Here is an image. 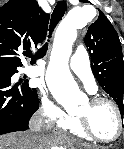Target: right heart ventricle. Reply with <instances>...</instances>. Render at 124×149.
<instances>
[{"instance_id":"e07e8e85","label":"right heart ventricle","mask_w":124,"mask_h":149,"mask_svg":"<svg viewBox=\"0 0 124 149\" xmlns=\"http://www.w3.org/2000/svg\"><path fill=\"white\" fill-rule=\"evenodd\" d=\"M64 129H67L75 136H78L80 138L89 139L88 136L80 128L77 118H73L71 120V122L67 126L64 127Z\"/></svg>"}]
</instances>
